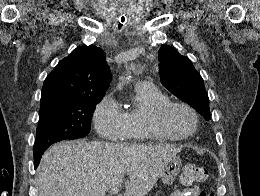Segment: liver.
<instances>
[{
	"label": "liver",
	"instance_id": "6515ba94",
	"mask_svg": "<svg viewBox=\"0 0 260 196\" xmlns=\"http://www.w3.org/2000/svg\"><path fill=\"white\" fill-rule=\"evenodd\" d=\"M181 150L169 144L59 142L44 152L36 186L39 196H107L110 188L124 184L123 196H146Z\"/></svg>",
	"mask_w": 260,
	"mask_h": 196
}]
</instances>
